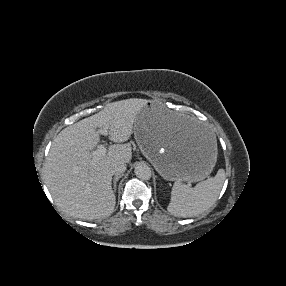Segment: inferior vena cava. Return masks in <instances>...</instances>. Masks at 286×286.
I'll return each mask as SVG.
<instances>
[{"instance_id": "obj_1", "label": "inferior vena cava", "mask_w": 286, "mask_h": 286, "mask_svg": "<svg viewBox=\"0 0 286 286\" xmlns=\"http://www.w3.org/2000/svg\"><path fill=\"white\" fill-rule=\"evenodd\" d=\"M109 170L112 175H121L126 171V163L123 161H114L111 163Z\"/></svg>"}]
</instances>
